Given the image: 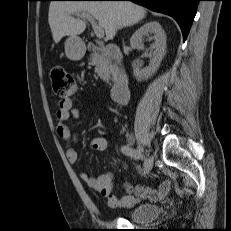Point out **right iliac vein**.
Here are the masks:
<instances>
[{"instance_id": "obj_1", "label": "right iliac vein", "mask_w": 231, "mask_h": 231, "mask_svg": "<svg viewBox=\"0 0 231 231\" xmlns=\"http://www.w3.org/2000/svg\"><path fill=\"white\" fill-rule=\"evenodd\" d=\"M145 164L151 169L152 168V164H153L152 158L151 157L146 158Z\"/></svg>"}]
</instances>
